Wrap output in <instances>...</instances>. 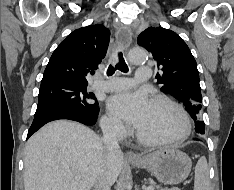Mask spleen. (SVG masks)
Wrapping results in <instances>:
<instances>
[{
    "label": "spleen",
    "instance_id": "spleen-1",
    "mask_svg": "<svg viewBox=\"0 0 234 190\" xmlns=\"http://www.w3.org/2000/svg\"><path fill=\"white\" fill-rule=\"evenodd\" d=\"M194 190H210L209 168L205 157H201L195 167Z\"/></svg>",
    "mask_w": 234,
    "mask_h": 190
}]
</instances>
